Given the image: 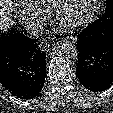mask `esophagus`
I'll list each match as a JSON object with an SVG mask.
<instances>
[{"label": "esophagus", "mask_w": 113, "mask_h": 113, "mask_svg": "<svg viewBox=\"0 0 113 113\" xmlns=\"http://www.w3.org/2000/svg\"><path fill=\"white\" fill-rule=\"evenodd\" d=\"M67 40L71 41V42H75L76 41V37H66Z\"/></svg>", "instance_id": "obj_1"}]
</instances>
